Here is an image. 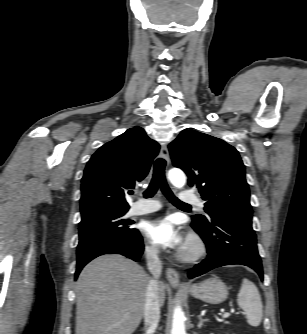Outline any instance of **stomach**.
<instances>
[{
    "label": "stomach",
    "instance_id": "0dacf381",
    "mask_svg": "<svg viewBox=\"0 0 307 334\" xmlns=\"http://www.w3.org/2000/svg\"><path fill=\"white\" fill-rule=\"evenodd\" d=\"M187 291L193 297L209 304H219L228 297V287L218 277L207 278L201 283L193 284Z\"/></svg>",
    "mask_w": 307,
    "mask_h": 334
}]
</instances>
